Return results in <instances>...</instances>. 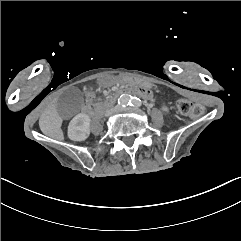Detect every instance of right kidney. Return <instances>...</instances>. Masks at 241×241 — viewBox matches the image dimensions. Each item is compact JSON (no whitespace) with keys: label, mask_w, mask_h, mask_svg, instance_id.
Listing matches in <instances>:
<instances>
[{"label":"right kidney","mask_w":241,"mask_h":241,"mask_svg":"<svg viewBox=\"0 0 241 241\" xmlns=\"http://www.w3.org/2000/svg\"><path fill=\"white\" fill-rule=\"evenodd\" d=\"M91 118L85 113H79L69 122L67 137L74 142H83L91 133Z\"/></svg>","instance_id":"obj_1"}]
</instances>
